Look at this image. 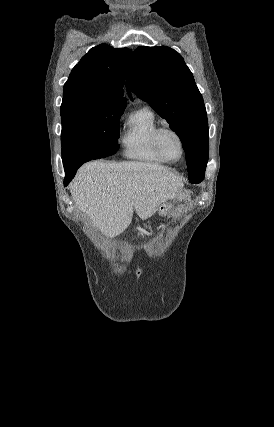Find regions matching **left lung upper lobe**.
Listing matches in <instances>:
<instances>
[{"instance_id":"1","label":"left lung upper lobe","mask_w":274,"mask_h":427,"mask_svg":"<svg viewBox=\"0 0 274 427\" xmlns=\"http://www.w3.org/2000/svg\"><path fill=\"white\" fill-rule=\"evenodd\" d=\"M127 91L147 101L179 136L188 176H204L209 151L207 114L181 55L164 46L138 47L128 67Z\"/></svg>"}]
</instances>
